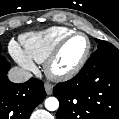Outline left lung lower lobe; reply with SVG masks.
Instances as JSON below:
<instances>
[{"mask_svg": "<svg viewBox=\"0 0 119 119\" xmlns=\"http://www.w3.org/2000/svg\"><path fill=\"white\" fill-rule=\"evenodd\" d=\"M53 94L60 102L57 119H119V50L102 46Z\"/></svg>", "mask_w": 119, "mask_h": 119, "instance_id": "left-lung-lower-lobe-1", "label": "left lung lower lobe"}]
</instances>
